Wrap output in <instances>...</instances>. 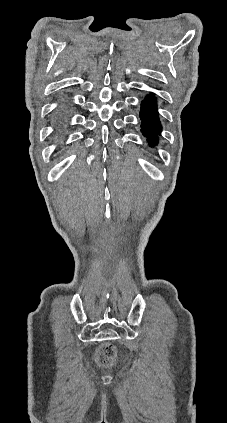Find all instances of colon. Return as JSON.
Segmentation results:
<instances>
[{
    "mask_svg": "<svg viewBox=\"0 0 227 423\" xmlns=\"http://www.w3.org/2000/svg\"><path fill=\"white\" fill-rule=\"evenodd\" d=\"M97 359L100 363L109 365L115 359V350L110 345H104L99 353L97 354Z\"/></svg>",
    "mask_w": 227,
    "mask_h": 423,
    "instance_id": "1",
    "label": "colon"
}]
</instances>
